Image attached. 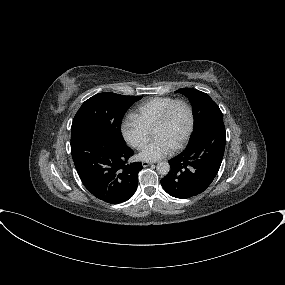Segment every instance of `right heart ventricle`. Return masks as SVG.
Masks as SVG:
<instances>
[{"mask_svg": "<svg viewBox=\"0 0 285 285\" xmlns=\"http://www.w3.org/2000/svg\"><path fill=\"white\" fill-rule=\"evenodd\" d=\"M175 99L171 97H154L140 103L134 115L148 128L153 129L156 121Z\"/></svg>", "mask_w": 285, "mask_h": 285, "instance_id": "right-heart-ventricle-1", "label": "right heart ventricle"}]
</instances>
